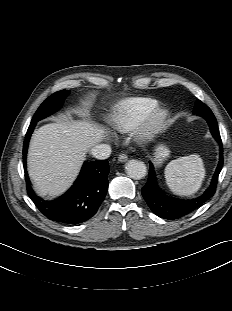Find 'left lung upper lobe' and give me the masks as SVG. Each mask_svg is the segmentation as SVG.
Listing matches in <instances>:
<instances>
[{
  "label": "left lung upper lobe",
  "mask_w": 232,
  "mask_h": 311,
  "mask_svg": "<svg viewBox=\"0 0 232 311\" xmlns=\"http://www.w3.org/2000/svg\"><path fill=\"white\" fill-rule=\"evenodd\" d=\"M204 112H211V110L207 105L202 103L200 100H197L194 107V113H204Z\"/></svg>",
  "instance_id": "obj_1"
}]
</instances>
